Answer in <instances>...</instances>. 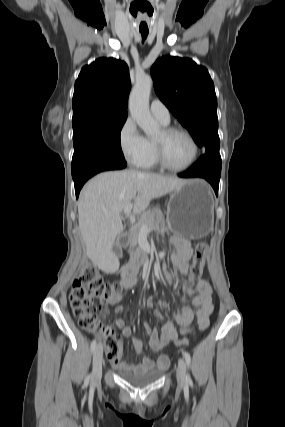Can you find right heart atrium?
<instances>
[{
  "label": "right heart atrium",
  "instance_id": "d8ad5b80",
  "mask_svg": "<svg viewBox=\"0 0 285 427\" xmlns=\"http://www.w3.org/2000/svg\"><path fill=\"white\" fill-rule=\"evenodd\" d=\"M118 141L124 159L131 165H138L146 154L147 139L133 118L128 117L122 124Z\"/></svg>",
  "mask_w": 285,
  "mask_h": 427
}]
</instances>
